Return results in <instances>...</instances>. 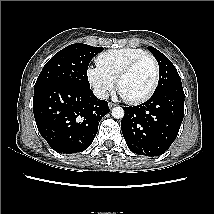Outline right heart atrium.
I'll return each mask as SVG.
<instances>
[{
	"mask_svg": "<svg viewBox=\"0 0 214 214\" xmlns=\"http://www.w3.org/2000/svg\"><path fill=\"white\" fill-rule=\"evenodd\" d=\"M87 79L95 93L102 98L107 97L116 86V80L97 65L88 68Z\"/></svg>",
	"mask_w": 214,
	"mask_h": 214,
	"instance_id": "d8ad5b80",
	"label": "right heart atrium"
}]
</instances>
